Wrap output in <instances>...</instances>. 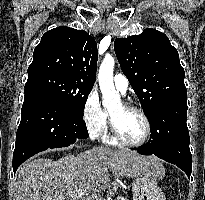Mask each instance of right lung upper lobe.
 <instances>
[{
    "instance_id": "right-lung-upper-lobe-1",
    "label": "right lung upper lobe",
    "mask_w": 205,
    "mask_h": 200,
    "mask_svg": "<svg viewBox=\"0 0 205 200\" xmlns=\"http://www.w3.org/2000/svg\"><path fill=\"white\" fill-rule=\"evenodd\" d=\"M97 59L93 37L83 30L60 26L46 32L34 49L28 79L56 74L93 86Z\"/></svg>"
}]
</instances>
